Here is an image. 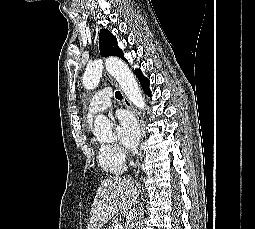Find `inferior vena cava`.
Segmentation results:
<instances>
[{
    "label": "inferior vena cava",
    "mask_w": 255,
    "mask_h": 229,
    "mask_svg": "<svg viewBox=\"0 0 255 229\" xmlns=\"http://www.w3.org/2000/svg\"><path fill=\"white\" fill-rule=\"evenodd\" d=\"M135 214H136L135 208L130 209L126 217L125 229H134Z\"/></svg>",
    "instance_id": "obj_1"
}]
</instances>
